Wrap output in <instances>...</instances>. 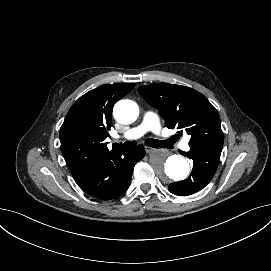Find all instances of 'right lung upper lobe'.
<instances>
[{"label":"right lung upper lobe","instance_id":"1","mask_svg":"<svg viewBox=\"0 0 271 271\" xmlns=\"http://www.w3.org/2000/svg\"><path fill=\"white\" fill-rule=\"evenodd\" d=\"M134 86L133 83L101 85L81 96L70 108L60 128V142L73 177L109 151L104 140L112 126L113 105Z\"/></svg>","mask_w":271,"mask_h":271}]
</instances>
